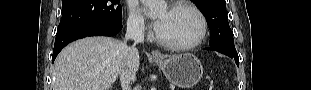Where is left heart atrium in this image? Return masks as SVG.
<instances>
[{"label":"left heart atrium","instance_id":"left-heart-atrium-1","mask_svg":"<svg viewBox=\"0 0 311 90\" xmlns=\"http://www.w3.org/2000/svg\"><path fill=\"white\" fill-rule=\"evenodd\" d=\"M154 25H155L156 30L158 31L161 28V26H162V20L161 19H157L155 21Z\"/></svg>","mask_w":311,"mask_h":90}]
</instances>
